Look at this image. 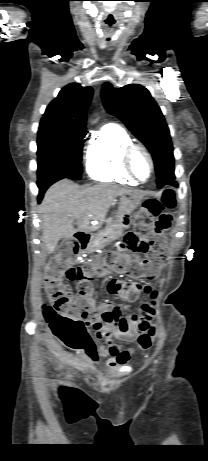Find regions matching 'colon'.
Masks as SVG:
<instances>
[{
    "mask_svg": "<svg viewBox=\"0 0 208 461\" xmlns=\"http://www.w3.org/2000/svg\"><path fill=\"white\" fill-rule=\"evenodd\" d=\"M175 206L176 198L172 190H166L161 201L150 199L144 202L134 217L135 229L125 235L123 250L146 253L147 259L138 261L120 254L113 259L118 272L133 279H155L158 270L168 263L165 231L171 225L172 217L162 211ZM84 240L80 237L79 241H67L45 269V289L50 303L43 306L44 317L58 339L78 350L92 343L85 319L95 314L91 299L92 283L96 276L104 272L100 259L81 266L70 265ZM65 280L76 284L78 295L67 290ZM155 333L154 326L143 324V332L138 339L142 349L151 346Z\"/></svg>",
    "mask_w": 208,
    "mask_h": 461,
    "instance_id": "obj_1",
    "label": "colon"
}]
</instances>
